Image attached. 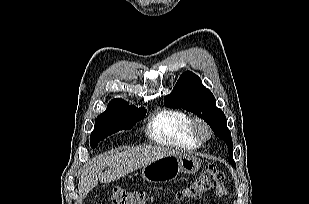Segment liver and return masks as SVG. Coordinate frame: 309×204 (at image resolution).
Returning a JSON list of instances; mask_svg holds the SVG:
<instances>
[{
  "label": "liver",
  "mask_w": 309,
  "mask_h": 204,
  "mask_svg": "<svg viewBox=\"0 0 309 204\" xmlns=\"http://www.w3.org/2000/svg\"><path fill=\"white\" fill-rule=\"evenodd\" d=\"M179 154L180 152L174 149L151 145L104 153L91 161L83 170L78 183L79 194L84 198L97 186L98 181L111 183L158 159ZM107 166L109 169L103 173V169Z\"/></svg>",
  "instance_id": "1"
}]
</instances>
